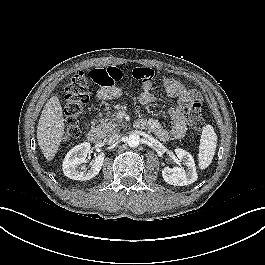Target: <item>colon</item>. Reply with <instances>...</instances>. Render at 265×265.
<instances>
[{
	"label": "colon",
	"instance_id": "colon-1",
	"mask_svg": "<svg viewBox=\"0 0 265 265\" xmlns=\"http://www.w3.org/2000/svg\"><path fill=\"white\" fill-rule=\"evenodd\" d=\"M148 71L152 74L151 70ZM133 77L143 82L144 76L140 69L133 71ZM121 78L119 70L95 69L90 72H78L75 74L64 88V112L66 130L64 139L68 142L76 140L81 134V117L84 107L89 100L90 83L101 86H111L116 84ZM187 121L191 128L199 132L204 126L202 104L199 99L194 100L186 115Z\"/></svg>",
	"mask_w": 265,
	"mask_h": 265
}]
</instances>
